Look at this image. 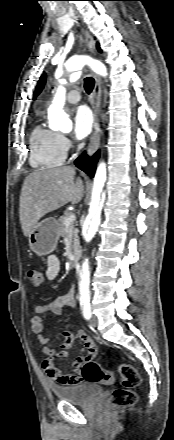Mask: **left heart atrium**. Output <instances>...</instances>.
I'll list each match as a JSON object with an SVG mask.
<instances>
[{
  "mask_svg": "<svg viewBox=\"0 0 174 440\" xmlns=\"http://www.w3.org/2000/svg\"><path fill=\"white\" fill-rule=\"evenodd\" d=\"M93 126V116L89 108L79 107L73 117V134L77 140L86 138Z\"/></svg>",
  "mask_w": 174,
  "mask_h": 440,
  "instance_id": "obj_1",
  "label": "left heart atrium"
}]
</instances>
